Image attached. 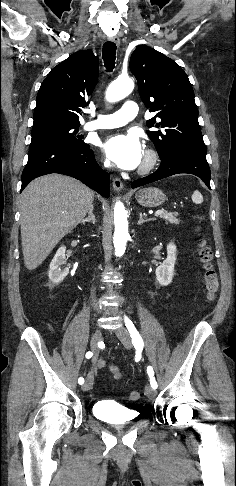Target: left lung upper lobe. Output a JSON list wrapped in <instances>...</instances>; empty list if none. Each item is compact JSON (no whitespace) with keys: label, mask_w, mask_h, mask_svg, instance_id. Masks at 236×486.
<instances>
[{"label":"left lung upper lobe","mask_w":236,"mask_h":486,"mask_svg":"<svg viewBox=\"0 0 236 486\" xmlns=\"http://www.w3.org/2000/svg\"><path fill=\"white\" fill-rule=\"evenodd\" d=\"M130 70L145 106L156 112L146 125L158 128L147 131V135L160 159L177 151L206 154L194 91L179 65L155 49L140 45L131 55Z\"/></svg>","instance_id":"5c2ea615"}]
</instances>
